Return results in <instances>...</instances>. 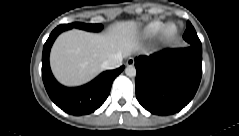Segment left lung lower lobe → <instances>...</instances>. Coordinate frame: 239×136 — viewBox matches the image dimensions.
Here are the masks:
<instances>
[{
    "label": "left lung lower lobe",
    "instance_id": "obj_1",
    "mask_svg": "<svg viewBox=\"0 0 239 136\" xmlns=\"http://www.w3.org/2000/svg\"><path fill=\"white\" fill-rule=\"evenodd\" d=\"M138 102L149 112H179L194 97L202 76V48L165 49L135 58Z\"/></svg>",
    "mask_w": 239,
    "mask_h": 136
}]
</instances>
